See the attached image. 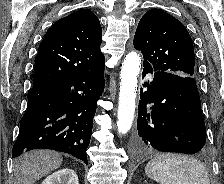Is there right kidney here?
<instances>
[{"mask_svg": "<svg viewBox=\"0 0 224 184\" xmlns=\"http://www.w3.org/2000/svg\"><path fill=\"white\" fill-rule=\"evenodd\" d=\"M42 184H79V182L75 171L65 168L46 177Z\"/></svg>", "mask_w": 224, "mask_h": 184, "instance_id": "ca27d5eb", "label": "right kidney"}]
</instances>
